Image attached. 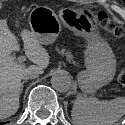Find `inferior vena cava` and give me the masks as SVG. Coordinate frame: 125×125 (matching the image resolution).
Instances as JSON below:
<instances>
[{"label":"inferior vena cava","instance_id":"inferior-vena-cava-1","mask_svg":"<svg viewBox=\"0 0 125 125\" xmlns=\"http://www.w3.org/2000/svg\"><path fill=\"white\" fill-rule=\"evenodd\" d=\"M39 76V73L36 72V71H30V72H27L26 74H24L22 76V79L24 80H28V79H35Z\"/></svg>","mask_w":125,"mask_h":125}]
</instances>
